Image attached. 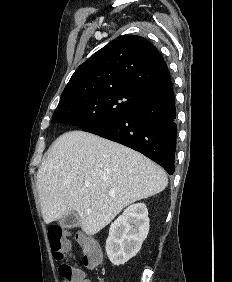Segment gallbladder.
<instances>
[{"mask_svg": "<svg viewBox=\"0 0 232 282\" xmlns=\"http://www.w3.org/2000/svg\"><path fill=\"white\" fill-rule=\"evenodd\" d=\"M80 217L76 211H70L58 221L59 225L64 228H73L79 225Z\"/></svg>", "mask_w": 232, "mask_h": 282, "instance_id": "obj_1", "label": "gallbladder"}]
</instances>
